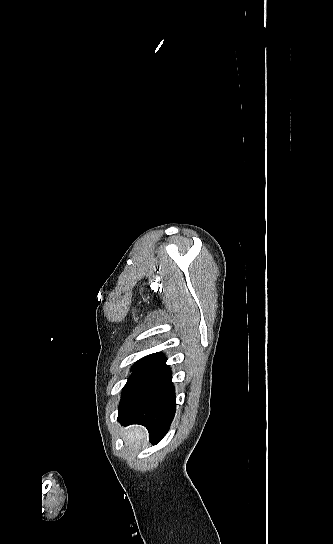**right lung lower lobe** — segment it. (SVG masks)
Instances as JSON below:
<instances>
[{
    "label": "right lung lower lobe",
    "mask_w": 333,
    "mask_h": 544,
    "mask_svg": "<svg viewBox=\"0 0 333 544\" xmlns=\"http://www.w3.org/2000/svg\"><path fill=\"white\" fill-rule=\"evenodd\" d=\"M166 356L154 353L145 359L123 388L118 421L141 424L157 444L167 434L175 415L176 398Z\"/></svg>",
    "instance_id": "right-lung-lower-lobe-1"
}]
</instances>
